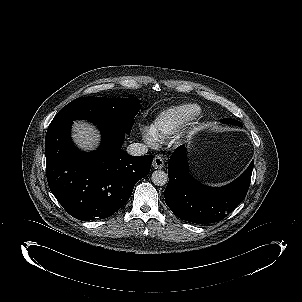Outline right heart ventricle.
I'll return each mask as SVG.
<instances>
[{
  "label": "right heart ventricle",
  "instance_id": "obj_1",
  "mask_svg": "<svg viewBox=\"0 0 302 302\" xmlns=\"http://www.w3.org/2000/svg\"><path fill=\"white\" fill-rule=\"evenodd\" d=\"M199 112V106L194 103H182L160 111L152 120L151 130L159 139L174 136L185 124Z\"/></svg>",
  "mask_w": 302,
  "mask_h": 302
}]
</instances>
